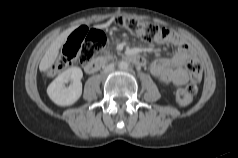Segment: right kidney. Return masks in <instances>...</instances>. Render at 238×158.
<instances>
[{
  "label": "right kidney",
  "mask_w": 238,
  "mask_h": 158,
  "mask_svg": "<svg viewBox=\"0 0 238 158\" xmlns=\"http://www.w3.org/2000/svg\"><path fill=\"white\" fill-rule=\"evenodd\" d=\"M83 72L79 67H71L59 74L48 86L49 98L59 106H70L74 104L82 94L81 79ZM71 81L66 87L65 84Z\"/></svg>",
  "instance_id": "1"
}]
</instances>
